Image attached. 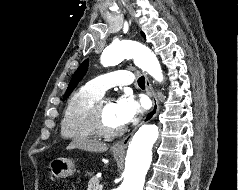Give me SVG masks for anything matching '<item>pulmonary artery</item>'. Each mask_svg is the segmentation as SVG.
Segmentation results:
<instances>
[{
    "instance_id": "obj_1",
    "label": "pulmonary artery",
    "mask_w": 238,
    "mask_h": 190,
    "mask_svg": "<svg viewBox=\"0 0 238 190\" xmlns=\"http://www.w3.org/2000/svg\"><path fill=\"white\" fill-rule=\"evenodd\" d=\"M133 82L132 73L127 70H117L102 74L87 83V86L100 94L117 85H128Z\"/></svg>"
}]
</instances>
